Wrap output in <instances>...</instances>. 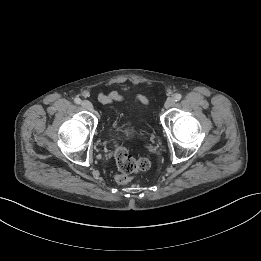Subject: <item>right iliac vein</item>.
Wrapping results in <instances>:
<instances>
[{"label": "right iliac vein", "instance_id": "1", "mask_svg": "<svg viewBox=\"0 0 261 261\" xmlns=\"http://www.w3.org/2000/svg\"><path fill=\"white\" fill-rule=\"evenodd\" d=\"M82 107L88 111H93V105L90 101L88 100H83L81 103Z\"/></svg>", "mask_w": 261, "mask_h": 261}]
</instances>
